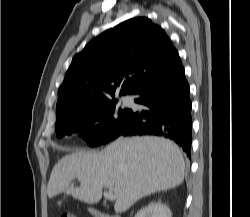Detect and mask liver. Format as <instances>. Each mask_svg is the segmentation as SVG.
I'll use <instances>...</instances> for the list:
<instances>
[{"label": "liver", "mask_w": 250, "mask_h": 217, "mask_svg": "<svg viewBox=\"0 0 250 217\" xmlns=\"http://www.w3.org/2000/svg\"><path fill=\"white\" fill-rule=\"evenodd\" d=\"M185 161L172 141L153 136L120 137L99 152L75 151L54 166L47 195H72L87 204L102 198L103 188L114 192L116 213L127 211L138 200L179 186ZM77 178L79 187L71 184Z\"/></svg>", "instance_id": "liver-1"}]
</instances>
